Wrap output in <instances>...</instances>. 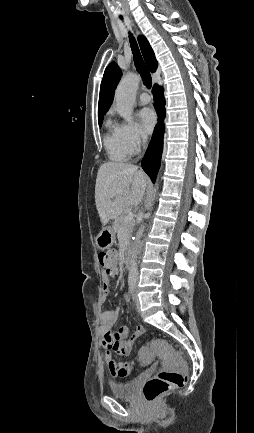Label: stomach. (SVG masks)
I'll use <instances>...</instances> for the list:
<instances>
[{
    "instance_id": "stomach-1",
    "label": "stomach",
    "mask_w": 254,
    "mask_h": 433,
    "mask_svg": "<svg viewBox=\"0 0 254 433\" xmlns=\"http://www.w3.org/2000/svg\"><path fill=\"white\" fill-rule=\"evenodd\" d=\"M115 242V231L112 227L103 228L96 238V244L100 249H107Z\"/></svg>"
}]
</instances>
